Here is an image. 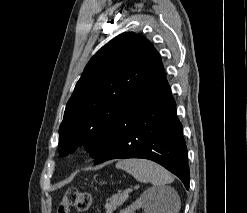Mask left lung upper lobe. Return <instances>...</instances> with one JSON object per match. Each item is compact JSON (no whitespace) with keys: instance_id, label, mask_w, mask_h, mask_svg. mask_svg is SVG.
Here are the masks:
<instances>
[{"instance_id":"5c2ea615","label":"left lung upper lobe","mask_w":247,"mask_h":213,"mask_svg":"<svg viewBox=\"0 0 247 213\" xmlns=\"http://www.w3.org/2000/svg\"><path fill=\"white\" fill-rule=\"evenodd\" d=\"M159 53L143 36L123 33L88 62L69 99L59 128V154L79 145L95 159L107 144L126 103L133 99Z\"/></svg>"}]
</instances>
